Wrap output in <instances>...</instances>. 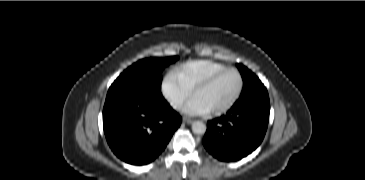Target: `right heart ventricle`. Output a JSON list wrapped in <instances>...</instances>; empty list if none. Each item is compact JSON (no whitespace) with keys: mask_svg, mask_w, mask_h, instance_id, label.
<instances>
[{"mask_svg":"<svg viewBox=\"0 0 365 180\" xmlns=\"http://www.w3.org/2000/svg\"><path fill=\"white\" fill-rule=\"evenodd\" d=\"M228 68L224 63L201 60L186 64L178 71L182 85L191 93L198 85L214 74Z\"/></svg>","mask_w":365,"mask_h":180,"instance_id":"obj_1","label":"right heart ventricle"}]
</instances>
